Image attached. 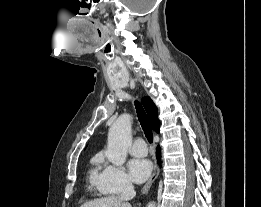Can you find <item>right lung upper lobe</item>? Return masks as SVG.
<instances>
[{
    "label": "right lung upper lobe",
    "mask_w": 261,
    "mask_h": 207,
    "mask_svg": "<svg viewBox=\"0 0 261 207\" xmlns=\"http://www.w3.org/2000/svg\"><path fill=\"white\" fill-rule=\"evenodd\" d=\"M142 104L145 110L147 111L149 122L151 124L152 129L156 132H159L160 122L157 116L158 115L157 107L148 96L142 98Z\"/></svg>",
    "instance_id": "obj_1"
}]
</instances>
